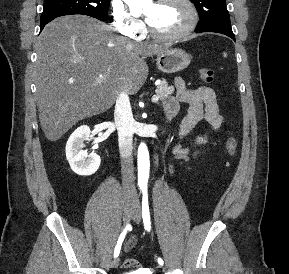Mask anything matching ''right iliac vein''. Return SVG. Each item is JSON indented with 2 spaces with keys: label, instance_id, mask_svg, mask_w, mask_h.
<instances>
[{
  "label": "right iliac vein",
  "instance_id": "right-iliac-vein-1",
  "mask_svg": "<svg viewBox=\"0 0 289 274\" xmlns=\"http://www.w3.org/2000/svg\"><path fill=\"white\" fill-rule=\"evenodd\" d=\"M133 214V205L130 200H126L124 203V208H123V221L124 223H128L130 218L132 217ZM119 264V259L115 258L113 261L110 262L109 266L110 268H117Z\"/></svg>",
  "mask_w": 289,
  "mask_h": 274
}]
</instances>
